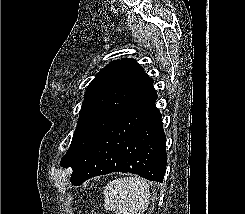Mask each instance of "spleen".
Returning <instances> with one entry per match:
<instances>
[{
  "label": "spleen",
  "mask_w": 245,
  "mask_h": 214,
  "mask_svg": "<svg viewBox=\"0 0 245 214\" xmlns=\"http://www.w3.org/2000/svg\"><path fill=\"white\" fill-rule=\"evenodd\" d=\"M150 187L139 177L111 181L104 189V208L116 214H143L149 205Z\"/></svg>",
  "instance_id": "obj_1"
}]
</instances>
